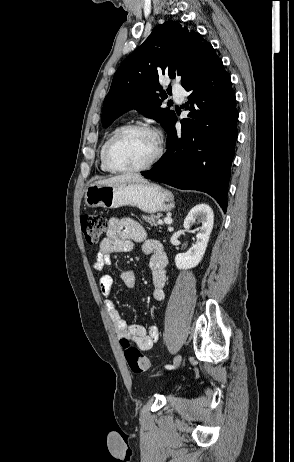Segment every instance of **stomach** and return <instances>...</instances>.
<instances>
[{
	"label": "stomach",
	"mask_w": 294,
	"mask_h": 462,
	"mask_svg": "<svg viewBox=\"0 0 294 462\" xmlns=\"http://www.w3.org/2000/svg\"><path fill=\"white\" fill-rule=\"evenodd\" d=\"M85 203L90 208L135 206L150 214L174 208L173 195L161 186L149 182L91 184L85 192Z\"/></svg>",
	"instance_id": "0dacf381"
}]
</instances>
